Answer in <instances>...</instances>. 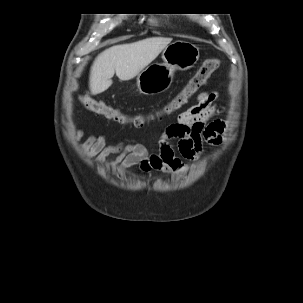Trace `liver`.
<instances>
[{
	"label": "liver",
	"mask_w": 303,
	"mask_h": 303,
	"mask_svg": "<svg viewBox=\"0 0 303 303\" xmlns=\"http://www.w3.org/2000/svg\"><path fill=\"white\" fill-rule=\"evenodd\" d=\"M171 38L152 37L134 43L115 45L100 53L91 67L89 86L93 95L107 90L116 73L121 81L137 76L161 51Z\"/></svg>",
	"instance_id": "obj_1"
}]
</instances>
